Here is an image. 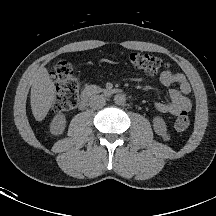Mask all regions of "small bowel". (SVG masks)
Instances as JSON below:
<instances>
[{
	"label": "small bowel",
	"mask_w": 216,
	"mask_h": 216,
	"mask_svg": "<svg viewBox=\"0 0 216 216\" xmlns=\"http://www.w3.org/2000/svg\"><path fill=\"white\" fill-rule=\"evenodd\" d=\"M159 80L162 85L169 88V101L156 102L155 109L158 112L177 116L191 110L192 103L188 97L191 85L184 74L166 69L160 73ZM174 85H177V88Z\"/></svg>",
	"instance_id": "small-bowel-1"
}]
</instances>
